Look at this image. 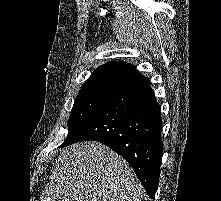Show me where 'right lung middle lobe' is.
Instances as JSON below:
<instances>
[{
    "instance_id": "1",
    "label": "right lung middle lobe",
    "mask_w": 221,
    "mask_h": 201,
    "mask_svg": "<svg viewBox=\"0 0 221 201\" xmlns=\"http://www.w3.org/2000/svg\"><path fill=\"white\" fill-rule=\"evenodd\" d=\"M119 89L111 87H91L81 89L75 99L68 122V136L70 139L80 127ZM65 140V141H66Z\"/></svg>"
}]
</instances>
